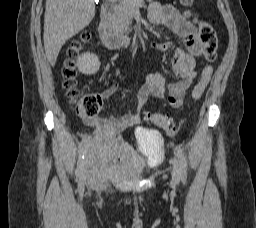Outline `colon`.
<instances>
[{
	"mask_svg": "<svg viewBox=\"0 0 256 228\" xmlns=\"http://www.w3.org/2000/svg\"><path fill=\"white\" fill-rule=\"evenodd\" d=\"M194 0H180L183 6L189 7L193 4ZM200 40L203 44L204 57L208 62H213L216 59V51L218 46L217 35L213 27L201 21L199 23ZM90 32L86 31L82 34L81 39L72 43L68 49V56L62 67V76L64 78V87L66 94L78 115L84 118H95L102 108V96L96 93H87L80 95L76 82V68L74 64V57L81 49L82 42H86L90 39ZM213 73V67L207 65L200 76L199 81L195 85L191 97L193 100H199L205 89L207 88ZM147 121L160 127L167 134H174L176 127L174 123L168 120L160 113H149L147 115Z\"/></svg>",
	"mask_w": 256,
	"mask_h": 228,
	"instance_id": "colon-1",
	"label": "colon"
}]
</instances>
